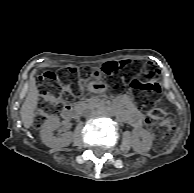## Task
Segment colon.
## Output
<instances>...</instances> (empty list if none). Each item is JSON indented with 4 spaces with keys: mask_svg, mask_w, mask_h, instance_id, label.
I'll return each instance as SVG.
<instances>
[{
    "mask_svg": "<svg viewBox=\"0 0 194 193\" xmlns=\"http://www.w3.org/2000/svg\"><path fill=\"white\" fill-rule=\"evenodd\" d=\"M77 73L78 70L67 67L59 72H46L41 76L39 83L41 100L34 119L37 127L45 122L49 114L57 111L69 99L71 93H75L76 90L71 84ZM93 73L96 76L104 74L113 78H118L119 74L123 73L141 108L149 112L150 119L155 125L156 147L162 149L170 143L175 135L176 126L165 109L156 107L161 97L160 87L158 83L150 80L156 75L151 66L125 60L109 61L95 69ZM113 89L120 91L121 85L115 82Z\"/></svg>",
    "mask_w": 194,
    "mask_h": 193,
    "instance_id": "obj_1",
    "label": "colon"
}]
</instances>
